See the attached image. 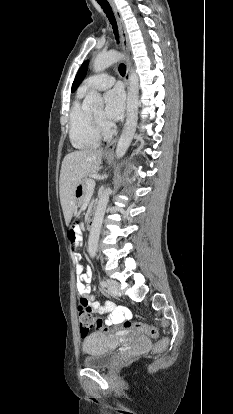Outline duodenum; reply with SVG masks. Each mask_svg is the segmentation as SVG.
I'll return each mask as SVG.
<instances>
[{
    "instance_id": "duodenum-1",
    "label": "duodenum",
    "mask_w": 233,
    "mask_h": 414,
    "mask_svg": "<svg viewBox=\"0 0 233 414\" xmlns=\"http://www.w3.org/2000/svg\"><path fill=\"white\" fill-rule=\"evenodd\" d=\"M96 213L95 211L90 212L88 219H87V228H91L94 221H95Z\"/></svg>"
}]
</instances>
